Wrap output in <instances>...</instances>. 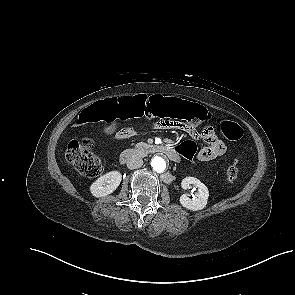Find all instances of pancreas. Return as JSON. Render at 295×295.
Returning <instances> with one entry per match:
<instances>
[{
  "label": "pancreas",
  "instance_id": "1",
  "mask_svg": "<svg viewBox=\"0 0 295 295\" xmlns=\"http://www.w3.org/2000/svg\"><path fill=\"white\" fill-rule=\"evenodd\" d=\"M148 147H149V145L144 142H139V143L135 144L136 151H138V152H141L144 149H147Z\"/></svg>",
  "mask_w": 295,
  "mask_h": 295
}]
</instances>
